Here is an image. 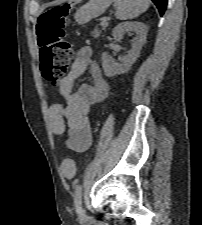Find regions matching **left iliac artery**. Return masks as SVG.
<instances>
[{
    "instance_id": "left-iliac-artery-1",
    "label": "left iliac artery",
    "mask_w": 202,
    "mask_h": 225,
    "mask_svg": "<svg viewBox=\"0 0 202 225\" xmlns=\"http://www.w3.org/2000/svg\"><path fill=\"white\" fill-rule=\"evenodd\" d=\"M81 197H82V186L77 185L75 188V196H74V203L77 209V212H81Z\"/></svg>"
}]
</instances>
